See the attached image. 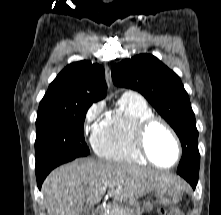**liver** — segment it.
I'll return each mask as SVG.
<instances>
[{
	"label": "liver",
	"instance_id": "6515ba94",
	"mask_svg": "<svg viewBox=\"0 0 221 215\" xmlns=\"http://www.w3.org/2000/svg\"><path fill=\"white\" fill-rule=\"evenodd\" d=\"M167 187L182 190L186 183L166 172L88 158L53 170L42 185V193L48 215H81L85 205L94 206L101 201L107 188L115 201L128 205L153 190Z\"/></svg>",
	"mask_w": 221,
	"mask_h": 215
}]
</instances>
